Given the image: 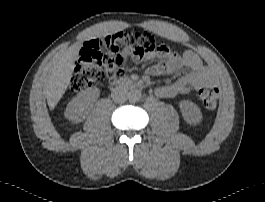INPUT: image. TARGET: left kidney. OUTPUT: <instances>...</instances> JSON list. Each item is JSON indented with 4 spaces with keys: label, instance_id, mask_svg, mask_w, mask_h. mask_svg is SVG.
I'll return each instance as SVG.
<instances>
[{
    "label": "left kidney",
    "instance_id": "obj_1",
    "mask_svg": "<svg viewBox=\"0 0 265 202\" xmlns=\"http://www.w3.org/2000/svg\"><path fill=\"white\" fill-rule=\"evenodd\" d=\"M180 111L184 120L190 125H197L201 122L202 113L200 108L189 100H183L179 103Z\"/></svg>",
    "mask_w": 265,
    "mask_h": 202
}]
</instances>
